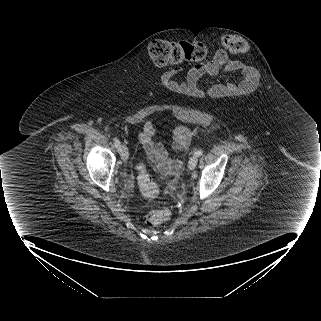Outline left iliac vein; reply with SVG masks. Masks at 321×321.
I'll use <instances>...</instances> for the list:
<instances>
[{
    "label": "left iliac vein",
    "instance_id": "1",
    "mask_svg": "<svg viewBox=\"0 0 321 321\" xmlns=\"http://www.w3.org/2000/svg\"><path fill=\"white\" fill-rule=\"evenodd\" d=\"M198 162V156L193 154L188 162V168L190 170H194Z\"/></svg>",
    "mask_w": 321,
    "mask_h": 321
}]
</instances>
